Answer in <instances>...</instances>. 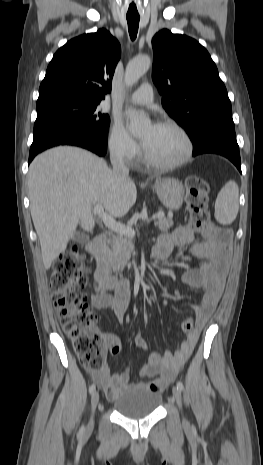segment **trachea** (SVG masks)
Returning <instances> with one entry per match:
<instances>
[{
	"label": "trachea",
	"mask_w": 263,
	"mask_h": 465,
	"mask_svg": "<svg viewBox=\"0 0 263 465\" xmlns=\"http://www.w3.org/2000/svg\"><path fill=\"white\" fill-rule=\"evenodd\" d=\"M127 23H128V31L131 40H135L137 37L138 33V27H139V21L140 17L139 16H126Z\"/></svg>",
	"instance_id": "obj_1"
}]
</instances>
